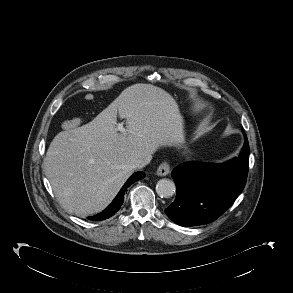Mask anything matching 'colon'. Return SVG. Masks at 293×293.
Wrapping results in <instances>:
<instances>
[{
	"label": "colon",
	"mask_w": 293,
	"mask_h": 293,
	"mask_svg": "<svg viewBox=\"0 0 293 293\" xmlns=\"http://www.w3.org/2000/svg\"><path fill=\"white\" fill-rule=\"evenodd\" d=\"M85 99L87 101H93L94 100V95L92 93H87L85 95ZM81 124V120L79 118H74L71 120H66L63 122L62 127L66 130H70L73 128L78 127Z\"/></svg>",
	"instance_id": "obj_1"
}]
</instances>
